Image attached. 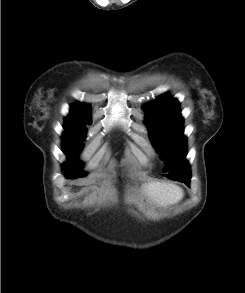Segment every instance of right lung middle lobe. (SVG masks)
<instances>
[{
	"instance_id": "right-lung-middle-lobe-1",
	"label": "right lung middle lobe",
	"mask_w": 245,
	"mask_h": 293,
	"mask_svg": "<svg viewBox=\"0 0 245 293\" xmlns=\"http://www.w3.org/2000/svg\"><path fill=\"white\" fill-rule=\"evenodd\" d=\"M63 136L64 153L69 157H75L79 154L84 144L82 141L85 138L87 128H65ZM64 173L68 178L83 177L85 173L81 172V167L78 163L68 162L64 165Z\"/></svg>"
}]
</instances>
